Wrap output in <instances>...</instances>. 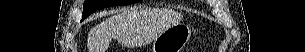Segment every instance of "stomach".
<instances>
[{"label":"stomach","mask_w":305,"mask_h":52,"mask_svg":"<svg viewBox=\"0 0 305 52\" xmlns=\"http://www.w3.org/2000/svg\"><path fill=\"white\" fill-rule=\"evenodd\" d=\"M191 37L189 25L179 23L162 32L153 40L151 52H181Z\"/></svg>","instance_id":"0dacf381"}]
</instances>
